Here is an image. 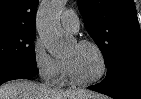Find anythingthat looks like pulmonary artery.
Masks as SVG:
<instances>
[{
  "mask_svg": "<svg viewBox=\"0 0 141 99\" xmlns=\"http://www.w3.org/2000/svg\"><path fill=\"white\" fill-rule=\"evenodd\" d=\"M62 27L70 32H77L79 29V19L73 10H66L61 16Z\"/></svg>",
  "mask_w": 141,
  "mask_h": 99,
  "instance_id": "pulmonary-artery-1",
  "label": "pulmonary artery"
}]
</instances>
